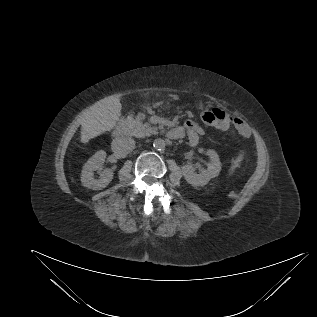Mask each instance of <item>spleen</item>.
<instances>
[{"label": "spleen", "mask_w": 317, "mask_h": 317, "mask_svg": "<svg viewBox=\"0 0 317 317\" xmlns=\"http://www.w3.org/2000/svg\"><path fill=\"white\" fill-rule=\"evenodd\" d=\"M241 159L242 157L239 156L236 160H234L232 166L230 167V173H232L239 166Z\"/></svg>", "instance_id": "1"}]
</instances>
